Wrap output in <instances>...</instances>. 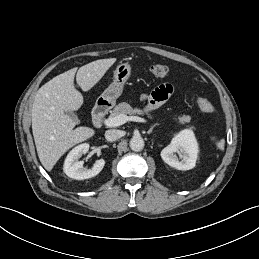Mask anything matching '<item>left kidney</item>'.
<instances>
[{
    "label": "left kidney",
    "instance_id": "obj_1",
    "mask_svg": "<svg viewBox=\"0 0 259 259\" xmlns=\"http://www.w3.org/2000/svg\"><path fill=\"white\" fill-rule=\"evenodd\" d=\"M198 152V143L194 133L185 129L180 131L161 151V158L165 163L178 170H190L195 167Z\"/></svg>",
    "mask_w": 259,
    "mask_h": 259
}]
</instances>
